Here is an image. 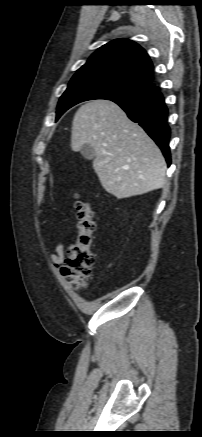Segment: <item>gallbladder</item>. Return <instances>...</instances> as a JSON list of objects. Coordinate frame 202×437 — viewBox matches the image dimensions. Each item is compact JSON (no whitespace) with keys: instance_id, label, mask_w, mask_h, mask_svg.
Returning <instances> with one entry per match:
<instances>
[{"instance_id":"gallbladder-1","label":"gallbladder","mask_w":202,"mask_h":437,"mask_svg":"<svg viewBox=\"0 0 202 437\" xmlns=\"http://www.w3.org/2000/svg\"><path fill=\"white\" fill-rule=\"evenodd\" d=\"M80 153L84 158L88 160H93L95 158V151L93 147L89 144H83L80 149Z\"/></svg>"}]
</instances>
